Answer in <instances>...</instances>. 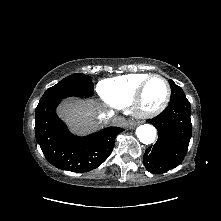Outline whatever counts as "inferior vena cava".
Listing matches in <instances>:
<instances>
[{
    "label": "inferior vena cava",
    "instance_id": "602c4592",
    "mask_svg": "<svg viewBox=\"0 0 221 221\" xmlns=\"http://www.w3.org/2000/svg\"><path fill=\"white\" fill-rule=\"evenodd\" d=\"M113 116V112H107V113H101L99 114V119L102 121H108L109 118H111Z\"/></svg>",
    "mask_w": 221,
    "mask_h": 221
}]
</instances>
